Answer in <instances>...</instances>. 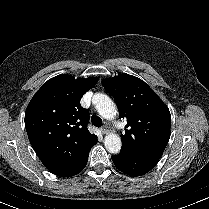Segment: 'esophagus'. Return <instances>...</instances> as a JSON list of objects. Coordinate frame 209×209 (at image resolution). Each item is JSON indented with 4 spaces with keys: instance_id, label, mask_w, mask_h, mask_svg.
Here are the masks:
<instances>
[{
    "instance_id": "obj_1",
    "label": "esophagus",
    "mask_w": 209,
    "mask_h": 209,
    "mask_svg": "<svg viewBox=\"0 0 209 209\" xmlns=\"http://www.w3.org/2000/svg\"><path fill=\"white\" fill-rule=\"evenodd\" d=\"M101 132H102L103 134L108 133V127H107V126H103V127L101 128Z\"/></svg>"
}]
</instances>
